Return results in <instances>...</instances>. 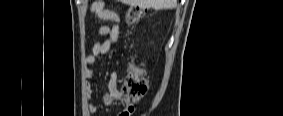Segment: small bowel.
I'll return each instance as SVG.
<instances>
[{"mask_svg":"<svg viewBox=\"0 0 283 116\" xmlns=\"http://www.w3.org/2000/svg\"><path fill=\"white\" fill-rule=\"evenodd\" d=\"M90 11L94 13L98 19L112 22L111 26H100L98 30L99 38L93 44L92 53L87 55L85 58V62L88 65H95L98 62V58L108 54L112 46L118 41L121 28V17L119 14L107 9L103 1H94L90 6ZM102 37H104L105 40H102ZM87 76L92 78L94 76L93 70L88 69ZM117 84L118 73L116 71H112L108 79L107 88L109 93L114 97L118 93ZM92 94V84H89L88 96L91 98ZM88 110L91 113H95L97 111V107L93 104H89Z\"/></svg>","mask_w":283,"mask_h":116,"instance_id":"c3829d8e","label":"small bowel"}]
</instances>
